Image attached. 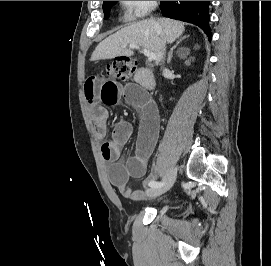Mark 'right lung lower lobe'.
Listing matches in <instances>:
<instances>
[{
    "instance_id": "obj_1",
    "label": "right lung lower lobe",
    "mask_w": 271,
    "mask_h": 266,
    "mask_svg": "<svg viewBox=\"0 0 271 266\" xmlns=\"http://www.w3.org/2000/svg\"><path fill=\"white\" fill-rule=\"evenodd\" d=\"M209 4L210 1H161V10L165 17L199 26L211 38Z\"/></svg>"
}]
</instances>
